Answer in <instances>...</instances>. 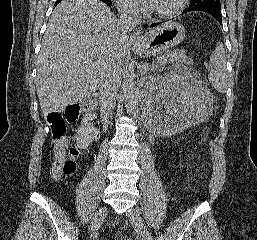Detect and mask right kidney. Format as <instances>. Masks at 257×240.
Returning a JSON list of instances; mask_svg holds the SVG:
<instances>
[{
  "label": "right kidney",
  "mask_w": 257,
  "mask_h": 240,
  "mask_svg": "<svg viewBox=\"0 0 257 240\" xmlns=\"http://www.w3.org/2000/svg\"><path fill=\"white\" fill-rule=\"evenodd\" d=\"M92 118H84L81 122V126L77 131V147L85 149L93 141L95 129L89 123Z\"/></svg>",
  "instance_id": "obj_1"
}]
</instances>
